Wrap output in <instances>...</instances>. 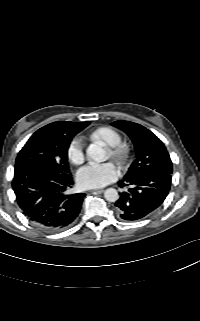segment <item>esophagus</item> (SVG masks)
I'll return each mask as SVG.
<instances>
[{"mask_svg":"<svg viewBox=\"0 0 200 321\" xmlns=\"http://www.w3.org/2000/svg\"><path fill=\"white\" fill-rule=\"evenodd\" d=\"M91 192L92 193H102V192H104V190L103 189H95V190H92Z\"/></svg>","mask_w":200,"mask_h":321,"instance_id":"obj_1","label":"esophagus"}]
</instances>
